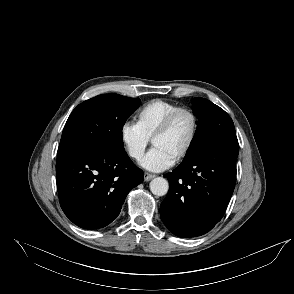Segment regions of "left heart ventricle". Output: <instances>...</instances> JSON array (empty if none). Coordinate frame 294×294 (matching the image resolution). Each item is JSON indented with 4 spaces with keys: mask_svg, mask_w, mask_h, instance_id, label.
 <instances>
[{
    "mask_svg": "<svg viewBox=\"0 0 294 294\" xmlns=\"http://www.w3.org/2000/svg\"><path fill=\"white\" fill-rule=\"evenodd\" d=\"M192 131V120L189 115L181 114L177 117L170 130L158 137L153 145L176 158L186 146Z\"/></svg>",
    "mask_w": 294,
    "mask_h": 294,
    "instance_id": "left-heart-ventricle-1",
    "label": "left heart ventricle"
}]
</instances>
